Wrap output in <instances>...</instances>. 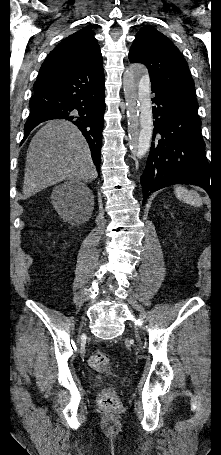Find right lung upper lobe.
I'll return each instance as SVG.
<instances>
[{
	"instance_id": "1",
	"label": "right lung upper lobe",
	"mask_w": 221,
	"mask_h": 455,
	"mask_svg": "<svg viewBox=\"0 0 221 455\" xmlns=\"http://www.w3.org/2000/svg\"><path fill=\"white\" fill-rule=\"evenodd\" d=\"M97 59H102V55L94 32L88 28L81 29L49 53L42 64L34 89L63 72Z\"/></svg>"
}]
</instances>
